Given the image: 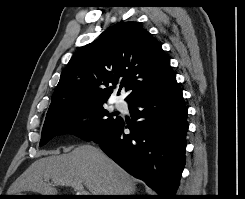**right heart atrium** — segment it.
<instances>
[{"label":"right heart atrium","mask_w":245,"mask_h":199,"mask_svg":"<svg viewBox=\"0 0 245 199\" xmlns=\"http://www.w3.org/2000/svg\"><path fill=\"white\" fill-rule=\"evenodd\" d=\"M91 120H92V118H91L90 115H85V116L82 118V122H83L84 124H90V123H91Z\"/></svg>","instance_id":"right-heart-atrium-1"}]
</instances>
